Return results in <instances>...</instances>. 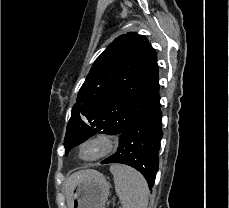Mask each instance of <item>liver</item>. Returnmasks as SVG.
I'll return each mask as SVG.
<instances>
[{"instance_id":"obj_1","label":"liver","mask_w":229,"mask_h":208,"mask_svg":"<svg viewBox=\"0 0 229 208\" xmlns=\"http://www.w3.org/2000/svg\"><path fill=\"white\" fill-rule=\"evenodd\" d=\"M98 176H101V174H99V172H96V170H80V172H75V174H71L65 186L66 196L70 198L77 184H81V182H85V180H93V178H98ZM67 204L69 206V200H67Z\"/></svg>"}]
</instances>
